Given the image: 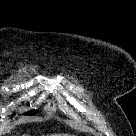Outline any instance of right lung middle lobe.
Returning <instances> with one entry per match:
<instances>
[{
  "mask_svg": "<svg viewBox=\"0 0 136 136\" xmlns=\"http://www.w3.org/2000/svg\"><path fill=\"white\" fill-rule=\"evenodd\" d=\"M35 114H36V111L34 110L25 113V115H35Z\"/></svg>",
  "mask_w": 136,
  "mask_h": 136,
  "instance_id": "1",
  "label": "right lung middle lobe"
}]
</instances>
